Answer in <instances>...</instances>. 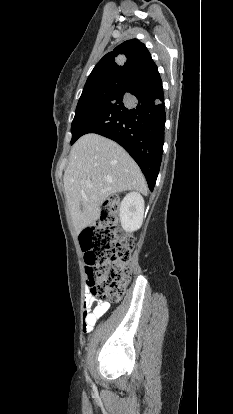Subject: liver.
I'll return each mask as SVG.
<instances>
[{"label":"liver","instance_id":"1","mask_svg":"<svg viewBox=\"0 0 233 414\" xmlns=\"http://www.w3.org/2000/svg\"><path fill=\"white\" fill-rule=\"evenodd\" d=\"M63 181L77 233L99 219L108 197L128 190L147 194L136 162L120 145L95 133L83 135L73 145Z\"/></svg>","mask_w":233,"mask_h":414}]
</instances>
